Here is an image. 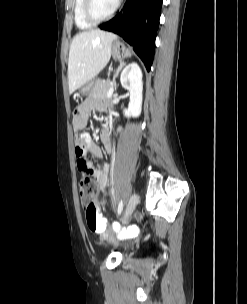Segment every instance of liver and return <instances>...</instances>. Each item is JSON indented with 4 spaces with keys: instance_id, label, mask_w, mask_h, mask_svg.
Segmentation results:
<instances>
[{
    "instance_id": "obj_1",
    "label": "liver",
    "mask_w": 247,
    "mask_h": 304,
    "mask_svg": "<svg viewBox=\"0 0 247 304\" xmlns=\"http://www.w3.org/2000/svg\"><path fill=\"white\" fill-rule=\"evenodd\" d=\"M116 35L98 29L78 33L72 40L68 60L69 93L92 80L107 65Z\"/></svg>"
}]
</instances>
